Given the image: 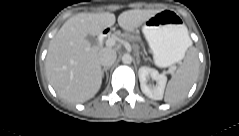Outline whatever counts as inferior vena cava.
Wrapping results in <instances>:
<instances>
[{
  "mask_svg": "<svg viewBox=\"0 0 239 136\" xmlns=\"http://www.w3.org/2000/svg\"><path fill=\"white\" fill-rule=\"evenodd\" d=\"M117 58L116 52L111 48H104L99 52L100 64L104 67H110Z\"/></svg>",
  "mask_w": 239,
  "mask_h": 136,
  "instance_id": "obj_1",
  "label": "inferior vena cava"
}]
</instances>
